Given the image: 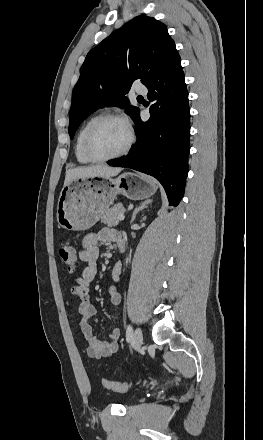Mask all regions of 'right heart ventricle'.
<instances>
[{
    "instance_id": "e07e8e85",
    "label": "right heart ventricle",
    "mask_w": 263,
    "mask_h": 440,
    "mask_svg": "<svg viewBox=\"0 0 263 440\" xmlns=\"http://www.w3.org/2000/svg\"><path fill=\"white\" fill-rule=\"evenodd\" d=\"M98 115H93L91 117H89L80 127L76 138H75V144H74V154L75 157L77 159V161L81 164H89L92 163L93 161L91 159H89L86 154L84 153V149H83V141H84V136L86 134L87 129L89 128V126L91 125V123L98 118Z\"/></svg>"
}]
</instances>
